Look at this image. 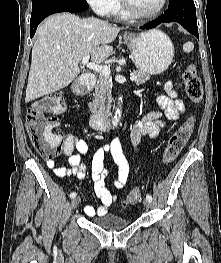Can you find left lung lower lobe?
<instances>
[{
    "instance_id": "left-lung-lower-lobe-1",
    "label": "left lung lower lobe",
    "mask_w": 221,
    "mask_h": 263,
    "mask_svg": "<svg viewBox=\"0 0 221 263\" xmlns=\"http://www.w3.org/2000/svg\"><path fill=\"white\" fill-rule=\"evenodd\" d=\"M168 7L169 8L160 18L141 26L140 28L151 29L163 22H178L187 31L198 37L196 8L193 0L170 1Z\"/></svg>"
}]
</instances>
